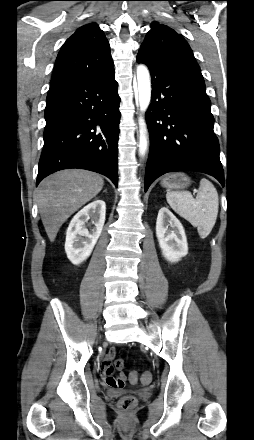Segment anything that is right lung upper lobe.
<instances>
[{
	"mask_svg": "<svg viewBox=\"0 0 254 440\" xmlns=\"http://www.w3.org/2000/svg\"><path fill=\"white\" fill-rule=\"evenodd\" d=\"M110 46L96 23L86 24L62 46L54 66L50 87L102 73L113 67Z\"/></svg>",
	"mask_w": 254,
	"mask_h": 440,
	"instance_id": "cb5924a9",
	"label": "right lung upper lobe"
}]
</instances>
